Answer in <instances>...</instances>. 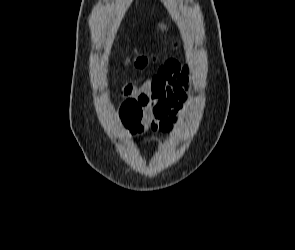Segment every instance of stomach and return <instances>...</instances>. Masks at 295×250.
<instances>
[{"mask_svg":"<svg viewBox=\"0 0 295 250\" xmlns=\"http://www.w3.org/2000/svg\"><path fill=\"white\" fill-rule=\"evenodd\" d=\"M159 28H160L162 31H166V30L168 29V26L162 23V24L159 25Z\"/></svg>","mask_w":295,"mask_h":250,"instance_id":"obj_1","label":"stomach"}]
</instances>
